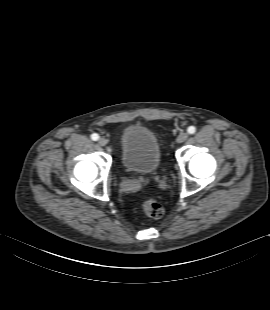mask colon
<instances>
[{"mask_svg":"<svg viewBox=\"0 0 270 310\" xmlns=\"http://www.w3.org/2000/svg\"><path fill=\"white\" fill-rule=\"evenodd\" d=\"M141 210L145 215L154 219H158L164 214L163 205L153 198L144 199L141 202Z\"/></svg>","mask_w":270,"mask_h":310,"instance_id":"1","label":"colon"}]
</instances>
